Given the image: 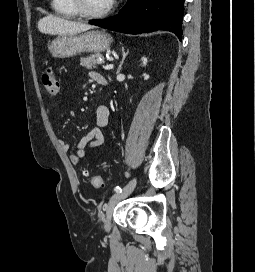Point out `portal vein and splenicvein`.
I'll use <instances>...</instances> for the list:
<instances>
[{
	"instance_id": "18ae733b",
	"label": "portal vein and splenic vein",
	"mask_w": 255,
	"mask_h": 272,
	"mask_svg": "<svg viewBox=\"0 0 255 272\" xmlns=\"http://www.w3.org/2000/svg\"><path fill=\"white\" fill-rule=\"evenodd\" d=\"M113 67H114L113 64H107V65H105L103 68H104L105 70H110V69H113Z\"/></svg>"
}]
</instances>
